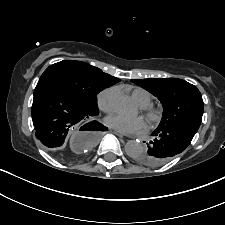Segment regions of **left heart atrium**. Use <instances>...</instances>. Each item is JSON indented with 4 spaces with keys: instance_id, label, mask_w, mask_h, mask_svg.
Masks as SVG:
<instances>
[{
    "instance_id": "obj_1",
    "label": "left heart atrium",
    "mask_w": 225,
    "mask_h": 225,
    "mask_svg": "<svg viewBox=\"0 0 225 225\" xmlns=\"http://www.w3.org/2000/svg\"><path fill=\"white\" fill-rule=\"evenodd\" d=\"M106 123L115 130L125 134H136L145 131L147 124L143 117H128L121 114H114L106 119Z\"/></svg>"
}]
</instances>
